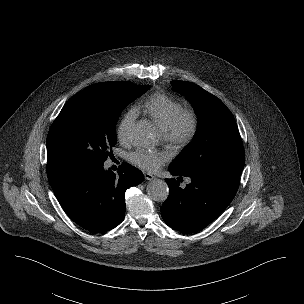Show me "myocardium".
Wrapping results in <instances>:
<instances>
[{
	"instance_id": "myocardium-1",
	"label": "myocardium",
	"mask_w": 304,
	"mask_h": 304,
	"mask_svg": "<svg viewBox=\"0 0 304 304\" xmlns=\"http://www.w3.org/2000/svg\"><path fill=\"white\" fill-rule=\"evenodd\" d=\"M198 131V116L191 108H181L163 129L166 143L182 148L188 145Z\"/></svg>"
}]
</instances>
